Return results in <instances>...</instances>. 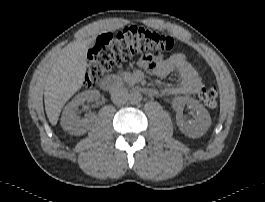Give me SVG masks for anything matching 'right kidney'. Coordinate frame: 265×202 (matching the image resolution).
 Here are the masks:
<instances>
[{
  "mask_svg": "<svg viewBox=\"0 0 265 202\" xmlns=\"http://www.w3.org/2000/svg\"><path fill=\"white\" fill-rule=\"evenodd\" d=\"M100 93L97 90H87L79 93L64 108L61 117V126L64 130L72 135H83L89 129L90 122L94 119V115L85 117L78 116V107L85 101L91 102L98 100Z\"/></svg>",
  "mask_w": 265,
  "mask_h": 202,
  "instance_id": "obj_1",
  "label": "right kidney"
}]
</instances>
